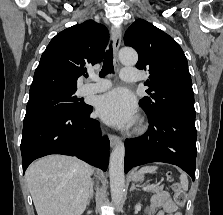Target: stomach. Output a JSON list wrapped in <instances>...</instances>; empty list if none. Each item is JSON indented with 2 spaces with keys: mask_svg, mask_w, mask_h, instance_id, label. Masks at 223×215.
I'll return each instance as SVG.
<instances>
[{
  "mask_svg": "<svg viewBox=\"0 0 223 215\" xmlns=\"http://www.w3.org/2000/svg\"><path fill=\"white\" fill-rule=\"evenodd\" d=\"M144 175L143 173H140V171H136V173H133L132 175V181H143Z\"/></svg>",
  "mask_w": 223,
  "mask_h": 215,
  "instance_id": "obj_1",
  "label": "stomach"
}]
</instances>
